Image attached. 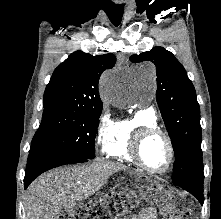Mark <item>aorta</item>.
<instances>
[{
    "label": "aorta",
    "mask_w": 221,
    "mask_h": 219,
    "mask_svg": "<svg viewBox=\"0 0 221 219\" xmlns=\"http://www.w3.org/2000/svg\"><path fill=\"white\" fill-rule=\"evenodd\" d=\"M139 73L150 84L154 83L155 73L153 68H148V69L142 68ZM101 91L102 95L106 99H115L119 95V92L116 89L115 80L110 76H106L103 78Z\"/></svg>",
    "instance_id": "1"
}]
</instances>
